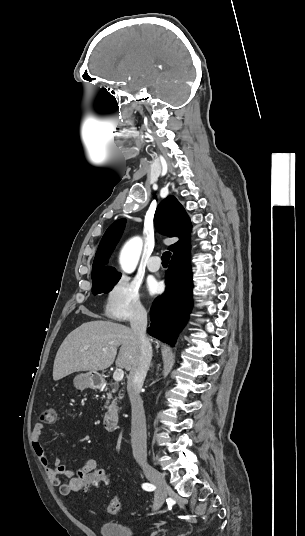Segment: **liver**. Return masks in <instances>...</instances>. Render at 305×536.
<instances>
[{
    "label": "liver",
    "mask_w": 305,
    "mask_h": 536,
    "mask_svg": "<svg viewBox=\"0 0 305 536\" xmlns=\"http://www.w3.org/2000/svg\"><path fill=\"white\" fill-rule=\"evenodd\" d=\"M93 318H99L90 314ZM84 346H89L84 350ZM116 366L130 372L139 362V342L130 328L113 322H86L68 334L54 360L53 380H61L73 372H97L112 366L117 348ZM106 348V352H103Z\"/></svg>",
    "instance_id": "obj_1"
}]
</instances>
